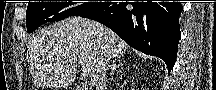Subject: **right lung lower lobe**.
<instances>
[{
    "label": "right lung lower lobe",
    "instance_id": "1",
    "mask_svg": "<svg viewBox=\"0 0 216 90\" xmlns=\"http://www.w3.org/2000/svg\"><path fill=\"white\" fill-rule=\"evenodd\" d=\"M182 9L180 2H105L80 16L109 27L131 47L163 59L170 72L177 57Z\"/></svg>",
    "mask_w": 216,
    "mask_h": 90
}]
</instances>
